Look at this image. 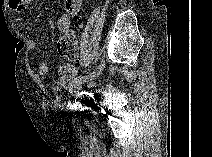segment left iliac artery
Returning <instances> with one entry per match:
<instances>
[{"label":"left iliac artery","mask_w":212,"mask_h":157,"mask_svg":"<svg viewBox=\"0 0 212 157\" xmlns=\"http://www.w3.org/2000/svg\"><path fill=\"white\" fill-rule=\"evenodd\" d=\"M104 68H105V57L102 56V58L100 60V63L97 66V68L93 72H91V73H88V74L79 76L78 78H75L70 83V89H72L75 85L82 84L84 82H87L89 80H92L95 77H98L102 73V71L104 70Z\"/></svg>","instance_id":"left-iliac-artery-1"}]
</instances>
